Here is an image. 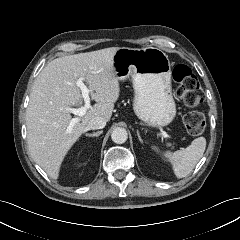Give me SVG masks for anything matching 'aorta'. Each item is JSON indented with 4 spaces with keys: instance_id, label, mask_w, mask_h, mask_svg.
<instances>
[{
    "instance_id": "762f6f07",
    "label": "aorta",
    "mask_w": 240,
    "mask_h": 240,
    "mask_svg": "<svg viewBox=\"0 0 240 240\" xmlns=\"http://www.w3.org/2000/svg\"><path fill=\"white\" fill-rule=\"evenodd\" d=\"M111 139L116 144H123L128 139V133H127L126 129H124L122 127H117L115 129H113V131L111 133Z\"/></svg>"
}]
</instances>
